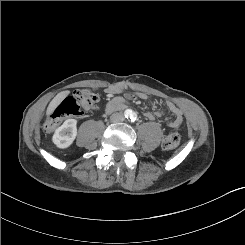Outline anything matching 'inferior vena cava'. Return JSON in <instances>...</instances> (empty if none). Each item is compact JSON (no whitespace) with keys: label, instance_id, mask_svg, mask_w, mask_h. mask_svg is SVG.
<instances>
[{"label":"inferior vena cava","instance_id":"602c4592","mask_svg":"<svg viewBox=\"0 0 245 245\" xmlns=\"http://www.w3.org/2000/svg\"><path fill=\"white\" fill-rule=\"evenodd\" d=\"M111 120L114 122H119L124 120V116L122 113H114L111 115Z\"/></svg>","mask_w":245,"mask_h":245}]
</instances>
